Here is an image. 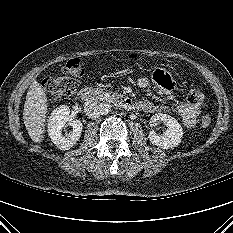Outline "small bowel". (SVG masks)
I'll list each match as a JSON object with an SVG mask.
<instances>
[{"instance_id": "1", "label": "small bowel", "mask_w": 233, "mask_h": 233, "mask_svg": "<svg viewBox=\"0 0 233 233\" xmlns=\"http://www.w3.org/2000/svg\"><path fill=\"white\" fill-rule=\"evenodd\" d=\"M152 81L168 96L172 95L176 87L174 79L168 71L164 69H156L152 75ZM149 85L150 79L148 77H141L138 80V86L141 89H146ZM137 104L138 108L145 112L161 111L166 108L164 104H153L147 100H140ZM175 110L187 128H193L195 126L197 116L200 113V109L197 105H192L186 101H180L175 104Z\"/></svg>"}]
</instances>
